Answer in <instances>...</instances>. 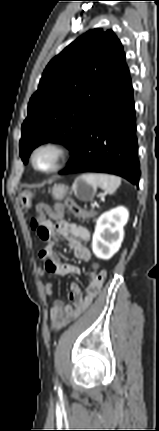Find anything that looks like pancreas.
Instances as JSON below:
<instances>
[{"label": "pancreas", "instance_id": "cf45deb5", "mask_svg": "<svg viewBox=\"0 0 159 431\" xmlns=\"http://www.w3.org/2000/svg\"><path fill=\"white\" fill-rule=\"evenodd\" d=\"M96 215V212H93V210L91 212H89L87 215H85L86 218H92Z\"/></svg>", "mask_w": 159, "mask_h": 431}]
</instances>
